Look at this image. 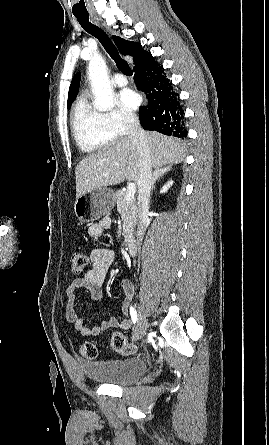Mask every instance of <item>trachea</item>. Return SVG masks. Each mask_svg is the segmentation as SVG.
<instances>
[{"instance_id":"obj_1","label":"trachea","mask_w":269,"mask_h":445,"mask_svg":"<svg viewBox=\"0 0 269 445\" xmlns=\"http://www.w3.org/2000/svg\"><path fill=\"white\" fill-rule=\"evenodd\" d=\"M75 17L86 32L96 37L100 41L106 52L115 61L118 69L126 76H131L133 72L130 69L128 63L120 57L116 47L114 46L110 38L105 34V32L96 25L92 24L89 21L88 15H75Z\"/></svg>"}]
</instances>
